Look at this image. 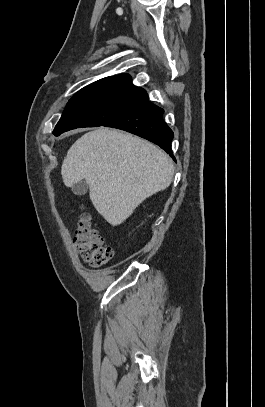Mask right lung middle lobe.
<instances>
[{
    "label": "right lung middle lobe",
    "mask_w": 265,
    "mask_h": 407,
    "mask_svg": "<svg viewBox=\"0 0 265 407\" xmlns=\"http://www.w3.org/2000/svg\"><path fill=\"white\" fill-rule=\"evenodd\" d=\"M148 100L146 91L115 78L98 80L78 91L68 102L53 134L80 127H96L118 118Z\"/></svg>",
    "instance_id": "obj_1"
}]
</instances>
